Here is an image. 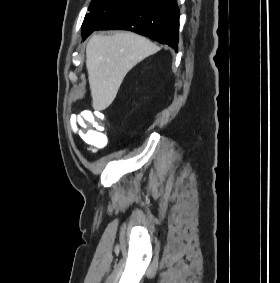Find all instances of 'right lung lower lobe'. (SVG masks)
I'll list each match as a JSON object with an SVG mask.
<instances>
[{
  "instance_id": "1",
  "label": "right lung lower lobe",
  "mask_w": 280,
  "mask_h": 283,
  "mask_svg": "<svg viewBox=\"0 0 280 283\" xmlns=\"http://www.w3.org/2000/svg\"><path fill=\"white\" fill-rule=\"evenodd\" d=\"M179 16L176 0H137L107 18L95 30L133 31L177 51Z\"/></svg>"
}]
</instances>
